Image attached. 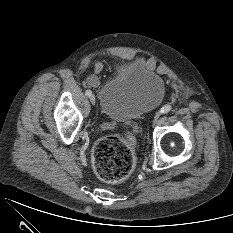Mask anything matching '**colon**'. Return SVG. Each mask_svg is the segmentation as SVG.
Segmentation results:
<instances>
[{
	"instance_id": "obj_1",
	"label": "colon",
	"mask_w": 233,
	"mask_h": 233,
	"mask_svg": "<svg viewBox=\"0 0 233 233\" xmlns=\"http://www.w3.org/2000/svg\"><path fill=\"white\" fill-rule=\"evenodd\" d=\"M92 161L97 176L103 182L120 183L131 175L135 167L132 144L119 136L102 137L93 147Z\"/></svg>"
}]
</instances>
